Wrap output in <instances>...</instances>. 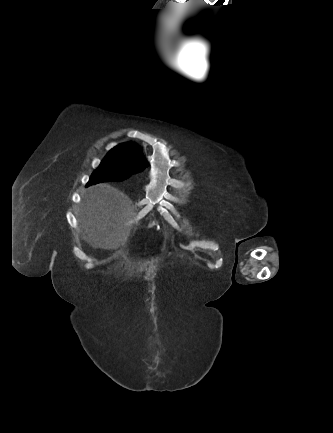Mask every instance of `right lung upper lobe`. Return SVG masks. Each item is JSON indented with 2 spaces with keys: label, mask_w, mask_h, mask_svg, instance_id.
<instances>
[{
  "label": "right lung upper lobe",
  "mask_w": 333,
  "mask_h": 433,
  "mask_svg": "<svg viewBox=\"0 0 333 433\" xmlns=\"http://www.w3.org/2000/svg\"><path fill=\"white\" fill-rule=\"evenodd\" d=\"M108 156L114 158H127L134 160L142 165H147V161L143 156L142 149L134 143H123L114 147Z\"/></svg>",
  "instance_id": "cb5924a9"
}]
</instances>
